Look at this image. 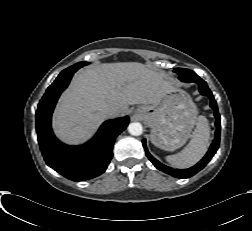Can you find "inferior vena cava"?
<instances>
[{
	"instance_id": "inferior-vena-cava-1",
	"label": "inferior vena cava",
	"mask_w": 252,
	"mask_h": 231,
	"mask_svg": "<svg viewBox=\"0 0 252 231\" xmlns=\"http://www.w3.org/2000/svg\"><path fill=\"white\" fill-rule=\"evenodd\" d=\"M103 112L109 117H114L117 115L118 111L116 108L111 107V108H105Z\"/></svg>"
}]
</instances>
